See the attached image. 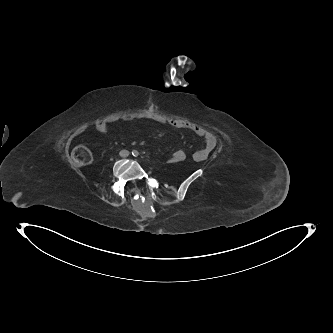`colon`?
Returning <instances> with one entry per match:
<instances>
[{"mask_svg": "<svg viewBox=\"0 0 333 333\" xmlns=\"http://www.w3.org/2000/svg\"><path fill=\"white\" fill-rule=\"evenodd\" d=\"M171 159L173 162L185 163L188 160L186 153L183 150L178 149L170 156L166 157V160ZM71 161L76 166H85L91 163L92 161V153L91 151L84 146H77L72 154Z\"/></svg>", "mask_w": 333, "mask_h": 333, "instance_id": "obj_1", "label": "colon"}]
</instances>
